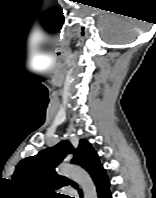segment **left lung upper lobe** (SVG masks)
I'll list each match as a JSON object with an SVG mask.
<instances>
[{
  "mask_svg": "<svg viewBox=\"0 0 156 198\" xmlns=\"http://www.w3.org/2000/svg\"><path fill=\"white\" fill-rule=\"evenodd\" d=\"M70 153H74L71 161L85 168L94 181L105 170L100 164L99 156L87 140L81 139L76 151L70 142L62 141L35 156L21 160L16 166L12 180L27 194L36 198L57 197L55 189L66 185L78 189L75 182L55 172V167Z\"/></svg>",
  "mask_w": 156,
  "mask_h": 198,
  "instance_id": "obj_1",
  "label": "left lung upper lobe"
}]
</instances>
